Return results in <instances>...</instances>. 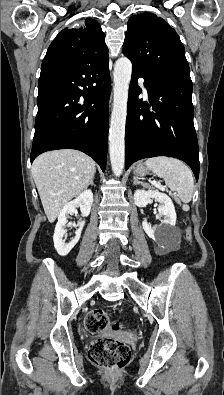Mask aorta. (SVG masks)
<instances>
[{"label": "aorta", "mask_w": 224, "mask_h": 395, "mask_svg": "<svg viewBox=\"0 0 224 395\" xmlns=\"http://www.w3.org/2000/svg\"><path fill=\"white\" fill-rule=\"evenodd\" d=\"M132 63L126 57L119 58L114 66L113 109L109 129V152L112 171L122 174L125 162V126Z\"/></svg>", "instance_id": "aorta-1"}]
</instances>
